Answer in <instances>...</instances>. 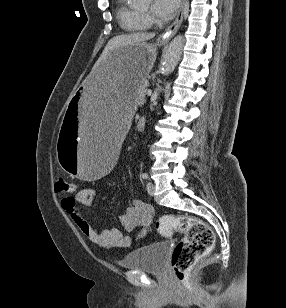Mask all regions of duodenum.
Instances as JSON below:
<instances>
[{
    "label": "duodenum",
    "mask_w": 286,
    "mask_h": 308,
    "mask_svg": "<svg viewBox=\"0 0 286 308\" xmlns=\"http://www.w3.org/2000/svg\"><path fill=\"white\" fill-rule=\"evenodd\" d=\"M144 123H145V119L144 118L139 119V121L137 123V127L138 128H143Z\"/></svg>",
    "instance_id": "1"
}]
</instances>
